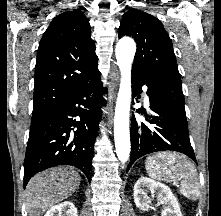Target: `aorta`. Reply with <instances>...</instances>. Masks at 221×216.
<instances>
[{"label":"aorta","mask_w":221,"mask_h":216,"mask_svg":"<svg viewBox=\"0 0 221 216\" xmlns=\"http://www.w3.org/2000/svg\"><path fill=\"white\" fill-rule=\"evenodd\" d=\"M116 60L121 82L115 107L114 139L118 159L124 164L130 155L129 115L131 104V68L136 44L129 37L121 38L116 45Z\"/></svg>","instance_id":"obj_1"}]
</instances>
